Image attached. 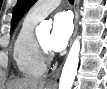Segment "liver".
I'll use <instances>...</instances> for the list:
<instances>
[{
  "instance_id": "1",
  "label": "liver",
  "mask_w": 107,
  "mask_h": 89,
  "mask_svg": "<svg viewBox=\"0 0 107 89\" xmlns=\"http://www.w3.org/2000/svg\"><path fill=\"white\" fill-rule=\"evenodd\" d=\"M45 81L34 78H18L11 82L8 89H43Z\"/></svg>"
}]
</instances>
